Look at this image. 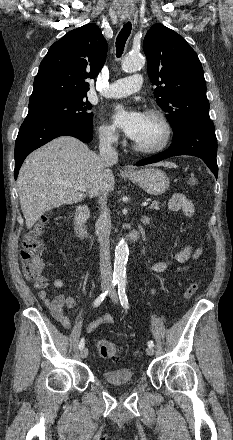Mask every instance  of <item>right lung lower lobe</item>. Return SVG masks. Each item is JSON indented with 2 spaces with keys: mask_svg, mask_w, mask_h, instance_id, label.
Here are the masks:
<instances>
[{
  "mask_svg": "<svg viewBox=\"0 0 233 440\" xmlns=\"http://www.w3.org/2000/svg\"><path fill=\"white\" fill-rule=\"evenodd\" d=\"M63 135L73 136L84 143H89L93 137L92 132L74 122L47 116H27L16 139L15 179L27 155L52 139Z\"/></svg>",
  "mask_w": 233,
  "mask_h": 440,
  "instance_id": "98d812e1",
  "label": "right lung lower lobe"
}]
</instances>
